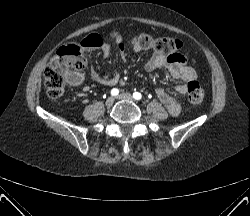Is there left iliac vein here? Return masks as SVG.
Masks as SVG:
<instances>
[{
	"label": "left iliac vein",
	"instance_id": "left-iliac-vein-1",
	"mask_svg": "<svg viewBox=\"0 0 250 216\" xmlns=\"http://www.w3.org/2000/svg\"><path fill=\"white\" fill-rule=\"evenodd\" d=\"M117 99L119 100H126V101H133L134 98L130 93H122L117 96Z\"/></svg>",
	"mask_w": 250,
	"mask_h": 216
}]
</instances>
